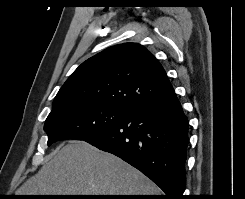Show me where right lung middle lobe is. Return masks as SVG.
<instances>
[{
    "label": "right lung middle lobe",
    "instance_id": "dd1d6c3e",
    "mask_svg": "<svg viewBox=\"0 0 245 199\" xmlns=\"http://www.w3.org/2000/svg\"><path fill=\"white\" fill-rule=\"evenodd\" d=\"M129 111L96 103L64 107L49 114L44 128L48 145L62 139L87 140L114 126Z\"/></svg>",
    "mask_w": 245,
    "mask_h": 199
}]
</instances>
